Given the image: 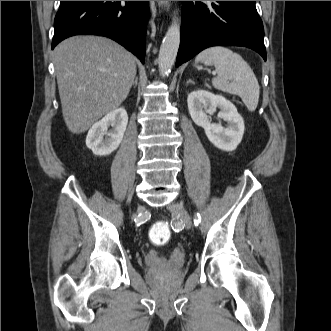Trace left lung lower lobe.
<instances>
[{
  "label": "left lung lower lobe",
  "mask_w": 331,
  "mask_h": 331,
  "mask_svg": "<svg viewBox=\"0 0 331 331\" xmlns=\"http://www.w3.org/2000/svg\"><path fill=\"white\" fill-rule=\"evenodd\" d=\"M216 45L248 47L266 61L264 28L255 1H183L176 66Z\"/></svg>",
  "instance_id": "left-lung-lower-lobe-1"
}]
</instances>
